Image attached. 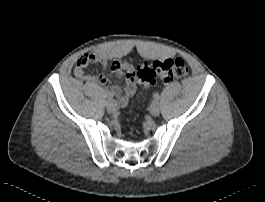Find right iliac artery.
Masks as SVG:
<instances>
[{
  "instance_id": "1",
  "label": "right iliac artery",
  "mask_w": 265,
  "mask_h": 202,
  "mask_svg": "<svg viewBox=\"0 0 265 202\" xmlns=\"http://www.w3.org/2000/svg\"><path fill=\"white\" fill-rule=\"evenodd\" d=\"M106 96L108 99H111V96L109 95V93H106Z\"/></svg>"
}]
</instances>
